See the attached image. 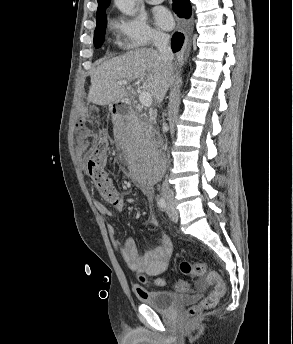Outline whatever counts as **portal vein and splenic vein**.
Listing matches in <instances>:
<instances>
[{"mask_svg":"<svg viewBox=\"0 0 293 344\" xmlns=\"http://www.w3.org/2000/svg\"><path fill=\"white\" fill-rule=\"evenodd\" d=\"M127 83H128L127 80H121L118 82L119 85H127ZM139 100H140L141 105L145 107H150L152 104V97L146 91H143L140 93Z\"/></svg>","mask_w":293,"mask_h":344,"instance_id":"1","label":"portal vein and splenic vein"}]
</instances>
